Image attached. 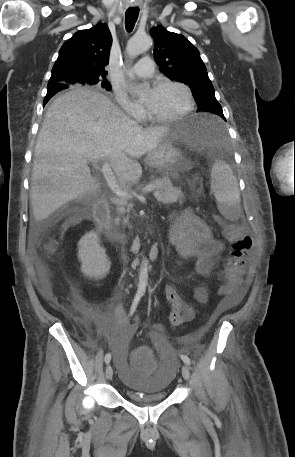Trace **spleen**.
Segmentation results:
<instances>
[{"mask_svg":"<svg viewBox=\"0 0 295 457\" xmlns=\"http://www.w3.org/2000/svg\"><path fill=\"white\" fill-rule=\"evenodd\" d=\"M211 190L218 202V209L227 219H233L239 211L240 191L230 166L217 160L211 170Z\"/></svg>","mask_w":295,"mask_h":457,"instance_id":"3e777b00","label":"spleen"}]
</instances>
